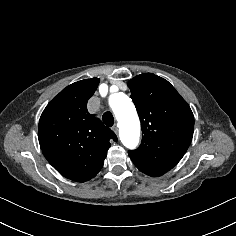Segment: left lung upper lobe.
<instances>
[{
	"instance_id": "5c2ea615",
	"label": "left lung upper lobe",
	"mask_w": 236,
	"mask_h": 236,
	"mask_svg": "<svg viewBox=\"0 0 236 236\" xmlns=\"http://www.w3.org/2000/svg\"><path fill=\"white\" fill-rule=\"evenodd\" d=\"M142 128V143L129 156L140 171L166 173L187 151L194 132V116L186 101L165 79L152 73L128 82Z\"/></svg>"
}]
</instances>
